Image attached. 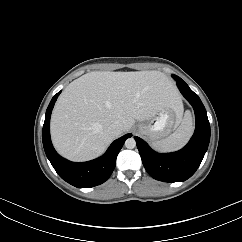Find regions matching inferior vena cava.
<instances>
[{"instance_id": "obj_1", "label": "inferior vena cava", "mask_w": 242, "mask_h": 242, "mask_svg": "<svg viewBox=\"0 0 242 242\" xmlns=\"http://www.w3.org/2000/svg\"><path fill=\"white\" fill-rule=\"evenodd\" d=\"M121 125L118 123H113L108 127V131L110 134L114 136H118L121 133Z\"/></svg>"}]
</instances>
